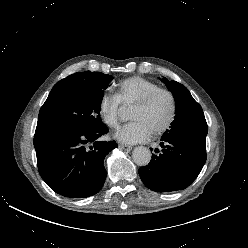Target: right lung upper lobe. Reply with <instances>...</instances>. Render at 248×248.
Instances as JSON below:
<instances>
[{
    "label": "right lung upper lobe",
    "mask_w": 248,
    "mask_h": 248,
    "mask_svg": "<svg viewBox=\"0 0 248 248\" xmlns=\"http://www.w3.org/2000/svg\"><path fill=\"white\" fill-rule=\"evenodd\" d=\"M81 72H77L75 74H72L62 80H60L58 83L55 84V86L52 88L49 96H52L53 94H56L57 92L61 91L68 85H70L74 79L80 74Z\"/></svg>",
    "instance_id": "cb5924a9"
}]
</instances>
